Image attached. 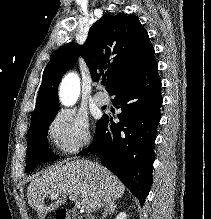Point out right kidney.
I'll use <instances>...</instances> for the list:
<instances>
[{"mask_svg": "<svg viewBox=\"0 0 211 219\" xmlns=\"http://www.w3.org/2000/svg\"><path fill=\"white\" fill-rule=\"evenodd\" d=\"M116 219H127V215H126L125 212H120V213L117 215Z\"/></svg>", "mask_w": 211, "mask_h": 219, "instance_id": "right-kidney-1", "label": "right kidney"}]
</instances>
